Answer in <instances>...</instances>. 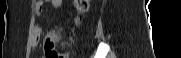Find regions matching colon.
<instances>
[{
  "instance_id": "1",
  "label": "colon",
  "mask_w": 181,
  "mask_h": 58,
  "mask_svg": "<svg viewBox=\"0 0 181 58\" xmlns=\"http://www.w3.org/2000/svg\"><path fill=\"white\" fill-rule=\"evenodd\" d=\"M75 4L79 13H84L88 10L89 4L87 0H76ZM44 48L47 58H67L66 54L58 53L55 50V39L51 37L45 39Z\"/></svg>"
}]
</instances>
